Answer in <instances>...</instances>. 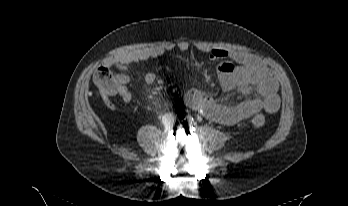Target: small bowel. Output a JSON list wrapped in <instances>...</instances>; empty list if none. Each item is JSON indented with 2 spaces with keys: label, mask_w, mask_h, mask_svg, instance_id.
Here are the masks:
<instances>
[{
  "label": "small bowel",
  "mask_w": 348,
  "mask_h": 206,
  "mask_svg": "<svg viewBox=\"0 0 348 206\" xmlns=\"http://www.w3.org/2000/svg\"><path fill=\"white\" fill-rule=\"evenodd\" d=\"M190 47L191 44L186 41L178 44L181 51H186ZM195 47L207 54L211 60L219 61L218 76L223 89L247 91L250 88H255L259 95L235 105H227L216 101L199 90H191L188 101L192 107L208 119L225 126L235 125L260 111L268 113L278 111L280 106L278 82L261 60L243 52H230L226 49L206 46ZM165 50L161 47L138 49L111 59L108 64L115 66L122 72V84L119 91L114 95L120 96L124 104H129L132 101V94L127 88L128 76L126 73L134 63L159 57ZM156 80L155 73H146V83L153 84ZM101 97L106 104H109L107 96L101 94Z\"/></svg>",
  "instance_id": "small-bowel-1"
}]
</instances>
